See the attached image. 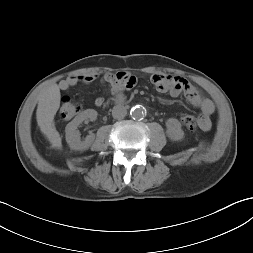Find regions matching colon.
Returning a JSON list of instances; mask_svg holds the SVG:
<instances>
[{
  "instance_id": "obj_1",
  "label": "colon",
  "mask_w": 253,
  "mask_h": 253,
  "mask_svg": "<svg viewBox=\"0 0 253 253\" xmlns=\"http://www.w3.org/2000/svg\"><path fill=\"white\" fill-rule=\"evenodd\" d=\"M81 109L80 104L70 98L65 96L62 100V104L59 111V117L62 121H68L76 116ZM181 124L187 128L189 131H196L199 125V119L193 115L182 113L180 115Z\"/></svg>"
}]
</instances>
